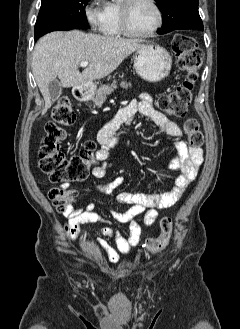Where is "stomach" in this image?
<instances>
[{
  "instance_id": "1",
  "label": "stomach",
  "mask_w": 240,
  "mask_h": 329,
  "mask_svg": "<svg viewBox=\"0 0 240 329\" xmlns=\"http://www.w3.org/2000/svg\"><path fill=\"white\" fill-rule=\"evenodd\" d=\"M171 65V56L160 46L142 45L134 55V68L137 74L149 82H158L167 77ZM95 89L96 85L90 83L86 88V94L93 96Z\"/></svg>"
}]
</instances>
